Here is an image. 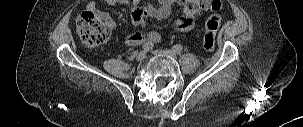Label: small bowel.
I'll list each match as a JSON object with an SVG mask.
<instances>
[{
	"label": "small bowel",
	"mask_w": 303,
	"mask_h": 127,
	"mask_svg": "<svg viewBox=\"0 0 303 127\" xmlns=\"http://www.w3.org/2000/svg\"><path fill=\"white\" fill-rule=\"evenodd\" d=\"M108 5H124L131 12V21L135 28H141L145 24L147 17L156 20L167 18L174 3L183 6L181 16L176 20L175 26L180 31H190L195 27L196 19L203 10H219L221 3L219 0H157L156 5H149L146 8L140 7L141 0H103ZM87 10L95 11L96 2L90 1L86 5ZM101 17L110 27L114 26L112 17L105 12L100 13ZM160 41V34L156 31L147 33L137 30L127 36L125 42L129 46L140 43L155 44Z\"/></svg>",
	"instance_id": "1"
}]
</instances>
